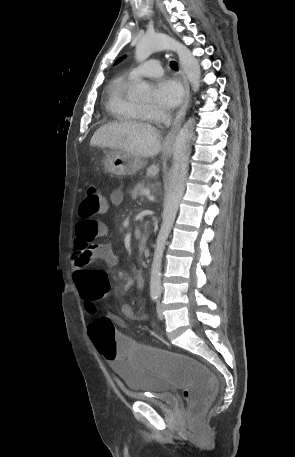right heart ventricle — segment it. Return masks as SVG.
<instances>
[{"instance_id": "right-heart-ventricle-1", "label": "right heart ventricle", "mask_w": 295, "mask_h": 457, "mask_svg": "<svg viewBox=\"0 0 295 457\" xmlns=\"http://www.w3.org/2000/svg\"><path fill=\"white\" fill-rule=\"evenodd\" d=\"M132 79L113 81L107 89L106 106L111 115L118 121L141 122L146 120L143 106L129 95Z\"/></svg>"}]
</instances>
